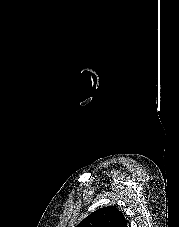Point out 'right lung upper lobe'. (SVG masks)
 I'll return each instance as SVG.
<instances>
[{
  "label": "right lung upper lobe",
  "mask_w": 179,
  "mask_h": 227,
  "mask_svg": "<svg viewBox=\"0 0 179 227\" xmlns=\"http://www.w3.org/2000/svg\"><path fill=\"white\" fill-rule=\"evenodd\" d=\"M76 227H127V221L115 206H107L92 212Z\"/></svg>",
  "instance_id": "obj_1"
}]
</instances>
